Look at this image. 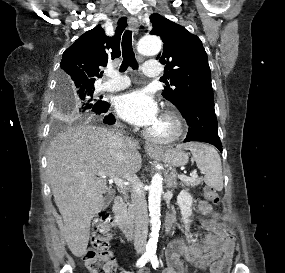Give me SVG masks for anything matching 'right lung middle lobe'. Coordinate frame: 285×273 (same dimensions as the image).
Segmentation results:
<instances>
[{
	"label": "right lung middle lobe",
	"mask_w": 285,
	"mask_h": 273,
	"mask_svg": "<svg viewBox=\"0 0 285 273\" xmlns=\"http://www.w3.org/2000/svg\"><path fill=\"white\" fill-rule=\"evenodd\" d=\"M94 86H74L63 76L59 77L57 108L59 114L72 121L95 114L102 104V96L94 93Z\"/></svg>",
	"instance_id": "right-lung-middle-lobe-1"
}]
</instances>
